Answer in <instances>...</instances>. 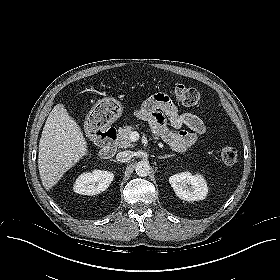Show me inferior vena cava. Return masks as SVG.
Segmentation results:
<instances>
[{"label": "inferior vena cava", "mask_w": 280, "mask_h": 280, "mask_svg": "<svg viewBox=\"0 0 280 280\" xmlns=\"http://www.w3.org/2000/svg\"><path fill=\"white\" fill-rule=\"evenodd\" d=\"M133 157V152L132 151H122V152H119L117 155H116V160L119 161V162H128L132 159Z\"/></svg>", "instance_id": "602c4592"}]
</instances>
